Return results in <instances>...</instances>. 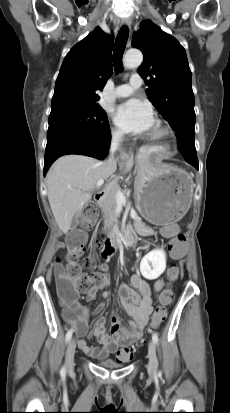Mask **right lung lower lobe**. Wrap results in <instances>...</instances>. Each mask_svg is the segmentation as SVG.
I'll return each instance as SVG.
<instances>
[{
    "label": "right lung lower lobe",
    "mask_w": 230,
    "mask_h": 413,
    "mask_svg": "<svg viewBox=\"0 0 230 413\" xmlns=\"http://www.w3.org/2000/svg\"><path fill=\"white\" fill-rule=\"evenodd\" d=\"M110 139L109 131L106 135L97 138H69L47 145L44 158V176L52 163L63 155L79 154L103 159L108 153Z\"/></svg>",
    "instance_id": "right-lung-lower-lobe-1"
}]
</instances>
